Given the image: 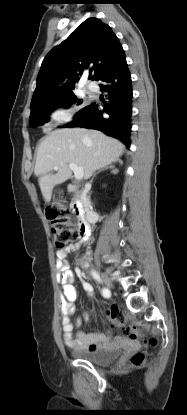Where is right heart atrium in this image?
I'll return each instance as SVG.
<instances>
[{
  "instance_id": "right-heart-atrium-1",
  "label": "right heart atrium",
  "mask_w": 187,
  "mask_h": 415,
  "mask_svg": "<svg viewBox=\"0 0 187 415\" xmlns=\"http://www.w3.org/2000/svg\"><path fill=\"white\" fill-rule=\"evenodd\" d=\"M47 119L53 126H64L71 121L72 111L68 107H58L50 111Z\"/></svg>"
}]
</instances>
